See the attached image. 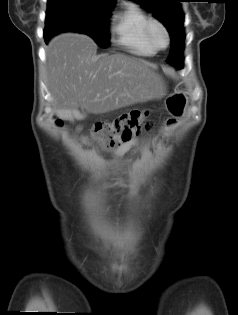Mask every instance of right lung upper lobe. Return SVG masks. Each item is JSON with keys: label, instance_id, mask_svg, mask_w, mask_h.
I'll use <instances>...</instances> for the list:
<instances>
[{"label": "right lung upper lobe", "instance_id": "1", "mask_svg": "<svg viewBox=\"0 0 238 315\" xmlns=\"http://www.w3.org/2000/svg\"><path fill=\"white\" fill-rule=\"evenodd\" d=\"M105 6H114L116 0H89Z\"/></svg>", "mask_w": 238, "mask_h": 315}]
</instances>
